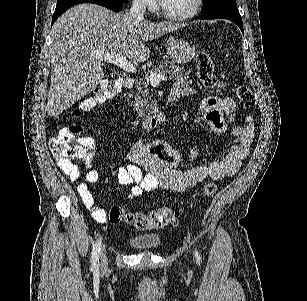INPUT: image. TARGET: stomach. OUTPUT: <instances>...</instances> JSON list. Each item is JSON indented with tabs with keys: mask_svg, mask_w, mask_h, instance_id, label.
<instances>
[{
	"mask_svg": "<svg viewBox=\"0 0 307 301\" xmlns=\"http://www.w3.org/2000/svg\"><path fill=\"white\" fill-rule=\"evenodd\" d=\"M166 50L171 58V62H176V64L190 62L195 56L194 46L185 38L171 36L166 42Z\"/></svg>",
	"mask_w": 307,
	"mask_h": 301,
	"instance_id": "0dacf381",
	"label": "stomach"
}]
</instances>
